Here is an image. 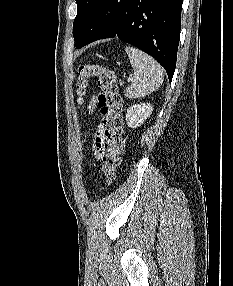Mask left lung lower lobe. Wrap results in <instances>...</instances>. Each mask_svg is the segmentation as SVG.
Instances as JSON below:
<instances>
[{"instance_id": "0a47b994", "label": "left lung lower lobe", "mask_w": 233, "mask_h": 286, "mask_svg": "<svg viewBox=\"0 0 233 286\" xmlns=\"http://www.w3.org/2000/svg\"><path fill=\"white\" fill-rule=\"evenodd\" d=\"M183 0H100L76 48L118 37L154 57L171 82L177 58Z\"/></svg>"}]
</instances>
